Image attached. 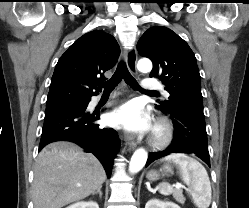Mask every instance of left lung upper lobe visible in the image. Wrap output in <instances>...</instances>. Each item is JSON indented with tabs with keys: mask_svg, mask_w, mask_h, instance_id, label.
Returning a JSON list of instances; mask_svg holds the SVG:
<instances>
[{
	"mask_svg": "<svg viewBox=\"0 0 249 208\" xmlns=\"http://www.w3.org/2000/svg\"><path fill=\"white\" fill-rule=\"evenodd\" d=\"M140 55L151 59L150 77L159 78L170 93L157 109L170 113L175 107L203 112L200 74L188 44L166 27H151L137 43Z\"/></svg>",
	"mask_w": 249,
	"mask_h": 208,
	"instance_id": "left-lung-upper-lobe-1",
	"label": "left lung upper lobe"
}]
</instances>
